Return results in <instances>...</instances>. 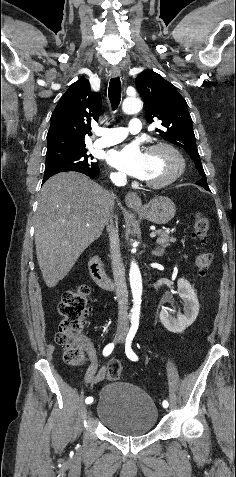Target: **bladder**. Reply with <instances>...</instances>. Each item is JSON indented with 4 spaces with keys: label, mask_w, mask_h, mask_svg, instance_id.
<instances>
[{
    "label": "bladder",
    "mask_w": 236,
    "mask_h": 477,
    "mask_svg": "<svg viewBox=\"0 0 236 477\" xmlns=\"http://www.w3.org/2000/svg\"><path fill=\"white\" fill-rule=\"evenodd\" d=\"M96 416L108 430L125 437L146 435L158 422V409L149 394L133 384H105L96 400Z\"/></svg>",
    "instance_id": "1"
}]
</instances>
